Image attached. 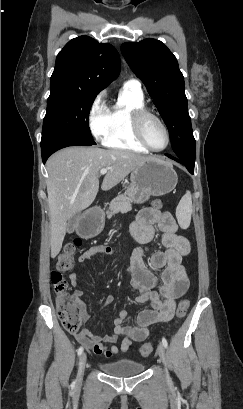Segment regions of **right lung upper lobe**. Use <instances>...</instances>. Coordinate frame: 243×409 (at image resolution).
Segmentation results:
<instances>
[{
	"label": "right lung upper lobe",
	"mask_w": 243,
	"mask_h": 409,
	"mask_svg": "<svg viewBox=\"0 0 243 409\" xmlns=\"http://www.w3.org/2000/svg\"><path fill=\"white\" fill-rule=\"evenodd\" d=\"M119 72L120 57L111 44L80 36L70 40L57 55L51 84L98 94Z\"/></svg>",
	"instance_id": "cb5924a9"
}]
</instances>
